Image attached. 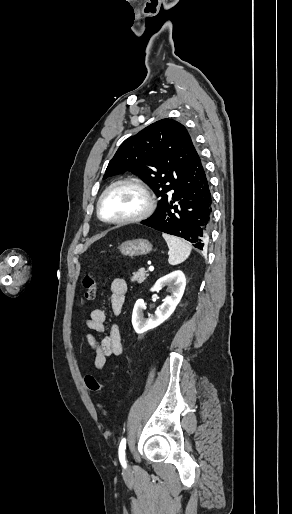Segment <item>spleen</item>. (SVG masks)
Wrapping results in <instances>:
<instances>
[{"label":"spleen","mask_w":292,"mask_h":514,"mask_svg":"<svg viewBox=\"0 0 292 514\" xmlns=\"http://www.w3.org/2000/svg\"><path fill=\"white\" fill-rule=\"evenodd\" d=\"M162 236L169 248L168 262L171 266L182 264V262L189 258L192 248L186 240H181V238H176V236H169V234H162Z\"/></svg>","instance_id":"obj_1"}]
</instances>
